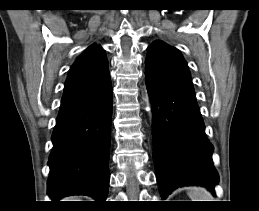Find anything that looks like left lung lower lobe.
<instances>
[{"label":"left lung lower lobe","mask_w":259,"mask_h":211,"mask_svg":"<svg viewBox=\"0 0 259 211\" xmlns=\"http://www.w3.org/2000/svg\"><path fill=\"white\" fill-rule=\"evenodd\" d=\"M145 80L153 105V158L162 198L184 185L206 186L214 193L218 173L213 146L195 93Z\"/></svg>","instance_id":"left-lung-lower-lobe-1"}]
</instances>
